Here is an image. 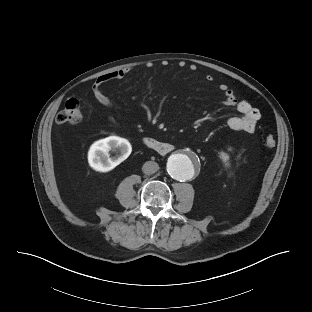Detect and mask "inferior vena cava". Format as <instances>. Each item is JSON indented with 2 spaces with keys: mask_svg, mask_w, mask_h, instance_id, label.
I'll list each match as a JSON object with an SVG mask.
<instances>
[{
  "mask_svg": "<svg viewBox=\"0 0 312 312\" xmlns=\"http://www.w3.org/2000/svg\"><path fill=\"white\" fill-rule=\"evenodd\" d=\"M158 170H159V165L156 162H154V161H147V162L144 163V165L142 167V171L146 175L154 174Z\"/></svg>",
  "mask_w": 312,
  "mask_h": 312,
  "instance_id": "602c4592",
  "label": "inferior vena cava"
}]
</instances>
